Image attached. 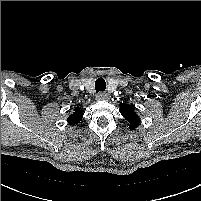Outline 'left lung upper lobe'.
Returning <instances> with one entry per match:
<instances>
[{
  "mask_svg": "<svg viewBox=\"0 0 201 201\" xmlns=\"http://www.w3.org/2000/svg\"><path fill=\"white\" fill-rule=\"evenodd\" d=\"M120 110H121L122 116L124 118H126L127 121L130 123L129 128L131 130H135V128L139 126L140 118L138 117L137 113L135 112L134 105H129L127 103H121Z\"/></svg>",
  "mask_w": 201,
  "mask_h": 201,
  "instance_id": "left-lung-upper-lobe-1",
  "label": "left lung upper lobe"
}]
</instances>
